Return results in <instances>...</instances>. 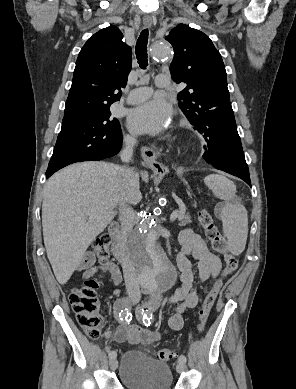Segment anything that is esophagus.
Returning <instances> with one entry per match:
<instances>
[{
	"label": "esophagus",
	"instance_id": "34e87169",
	"mask_svg": "<svg viewBox=\"0 0 296 389\" xmlns=\"http://www.w3.org/2000/svg\"><path fill=\"white\" fill-rule=\"evenodd\" d=\"M143 24L145 27H150L152 25V19L151 18H144ZM145 152V158H146V164L151 169H164L165 171L168 170V168L163 165L162 163H159L158 160H156L158 153H156L153 149H144Z\"/></svg>",
	"mask_w": 296,
	"mask_h": 389
}]
</instances>
